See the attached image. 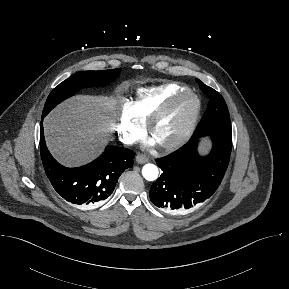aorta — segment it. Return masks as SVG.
Here are the masks:
<instances>
[{
    "instance_id": "obj_1",
    "label": "aorta",
    "mask_w": 289,
    "mask_h": 289,
    "mask_svg": "<svg viewBox=\"0 0 289 289\" xmlns=\"http://www.w3.org/2000/svg\"><path fill=\"white\" fill-rule=\"evenodd\" d=\"M158 168L154 164H146L143 166L142 174L143 177L148 181H154L158 177Z\"/></svg>"
}]
</instances>
